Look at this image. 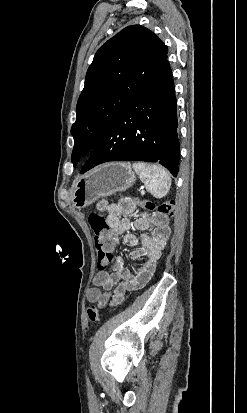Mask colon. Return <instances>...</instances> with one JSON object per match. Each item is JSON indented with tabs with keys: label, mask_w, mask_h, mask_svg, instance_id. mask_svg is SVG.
<instances>
[{
	"label": "colon",
	"mask_w": 247,
	"mask_h": 413,
	"mask_svg": "<svg viewBox=\"0 0 247 413\" xmlns=\"http://www.w3.org/2000/svg\"><path fill=\"white\" fill-rule=\"evenodd\" d=\"M123 198L119 197V200ZM133 200V206L139 207L140 205L146 210H154L155 204L151 200L145 199L140 200L139 198L131 197ZM174 201L164 200L158 206V214L164 217H171L174 211ZM91 228L94 231L95 244L99 256L100 265H111L112 264V252L114 251V246L111 244L110 237H107L109 228L108 222L104 220V217L100 214H89L87 217ZM86 316L91 324H95L99 321L100 312L97 306L91 305L86 308Z\"/></svg>",
	"instance_id": "5ec220e1"
}]
</instances>
